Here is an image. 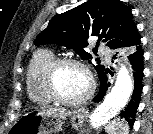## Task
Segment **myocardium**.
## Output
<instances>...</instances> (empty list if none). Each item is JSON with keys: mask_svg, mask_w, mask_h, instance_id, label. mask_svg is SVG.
Instances as JSON below:
<instances>
[{"mask_svg": "<svg viewBox=\"0 0 153 134\" xmlns=\"http://www.w3.org/2000/svg\"><path fill=\"white\" fill-rule=\"evenodd\" d=\"M63 66H75L85 73L88 80V90L81 98L74 100L66 99L58 93L55 85V77L57 71ZM42 83L46 94L52 101L66 106H80L85 104L92 97L95 89L94 78L89 67L82 61L73 58H54L43 71Z\"/></svg>", "mask_w": 153, "mask_h": 134, "instance_id": "1", "label": "myocardium"}]
</instances>
